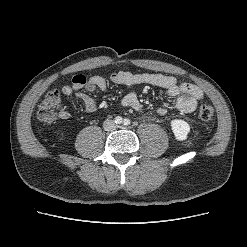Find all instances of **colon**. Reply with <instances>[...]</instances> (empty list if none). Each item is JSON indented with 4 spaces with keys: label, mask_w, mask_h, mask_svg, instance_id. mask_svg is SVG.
Returning a JSON list of instances; mask_svg holds the SVG:
<instances>
[{
    "label": "colon",
    "mask_w": 247,
    "mask_h": 247,
    "mask_svg": "<svg viewBox=\"0 0 247 247\" xmlns=\"http://www.w3.org/2000/svg\"><path fill=\"white\" fill-rule=\"evenodd\" d=\"M62 110L60 93L57 89L49 91L38 108V118L45 124H51L55 121ZM214 115V109L211 105L204 104L199 108L198 117L202 121L210 120Z\"/></svg>",
    "instance_id": "obj_1"
}]
</instances>
